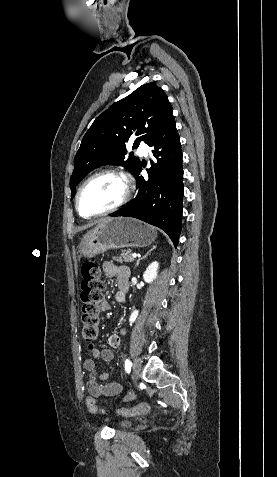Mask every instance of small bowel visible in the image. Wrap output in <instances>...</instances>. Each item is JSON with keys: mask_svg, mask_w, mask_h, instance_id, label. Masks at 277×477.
Masks as SVG:
<instances>
[{"mask_svg": "<svg viewBox=\"0 0 277 477\" xmlns=\"http://www.w3.org/2000/svg\"><path fill=\"white\" fill-rule=\"evenodd\" d=\"M103 270L108 277H115L118 291L115 295L117 302H123L126 299L129 288L130 270L126 266H119L112 262H105ZM102 310H108L109 304L106 300L102 302ZM126 333L125 329H120L118 333H112L108 338L110 348L104 349H90L89 354L93 358H88L84 361L83 367L86 370L87 376V390L93 397H110L117 395L122 390V385L118 382H107L110 374L108 371L101 373L97 372L95 360H103L111 362L114 359L113 349L120 346V336Z\"/></svg>", "mask_w": 277, "mask_h": 477, "instance_id": "obj_1", "label": "small bowel"}]
</instances>
